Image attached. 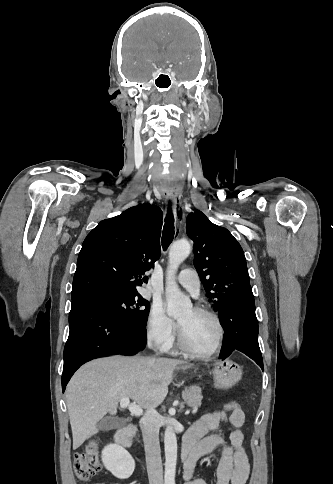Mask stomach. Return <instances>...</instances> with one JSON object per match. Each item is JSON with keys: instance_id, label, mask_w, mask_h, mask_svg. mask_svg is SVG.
I'll return each instance as SVG.
<instances>
[{"instance_id": "0dacf381", "label": "stomach", "mask_w": 333, "mask_h": 484, "mask_svg": "<svg viewBox=\"0 0 333 484\" xmlns=\"http://www.w3.org/2000/svg\"><path fill=\"white\" fill-rule=\"evenodd\" d=\"M182 370L184 373H189L192 368H182ZM211 374L213 375L215 388L227 390L240 381L242 369L236 362L226 359L217 361L211 370Z\"/></svg>"}]
</instances>
